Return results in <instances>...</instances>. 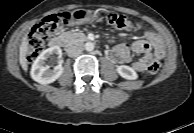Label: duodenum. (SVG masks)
Segmentation results:
<instances>
[{
    "label": "duodenum",
    "instance_id": "duodenum-1",
    "mask_svg": "<svg viewBox=\"0 0 194 133\" xmlns=\"http://www.w3.org/2000/svg\"><path fill=\"white\" fill-rule=\"evenodd\" d=\"M74 41L76 43H81V44H85L87 42V38L86 37H83V36H76L74 38ZM65 41H64V38L61 37V36H57L55 38H53L50 42V46L52 47H62L64 45Z\"/></svg>",
    "mask_w": 194,
    "mask_h": 133
}]
</instances>
